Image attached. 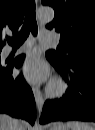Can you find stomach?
I'll use <instances>...</instances> for the list:
<instances>
[{"label":"stomach","instance_id":"stomach-1","mask_svg":"<svg viewBox=\"0 0 95 130\" xmlns=\"http://www.w3.org/2000/svg\"><path fill=\"white\" fill-rule=\"evenodd\" d=\"M50 130H68L61 122H55L51 125Z\"/></svg>","mask_w":95,"mask_h":130}]
</instances>
